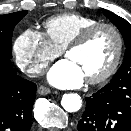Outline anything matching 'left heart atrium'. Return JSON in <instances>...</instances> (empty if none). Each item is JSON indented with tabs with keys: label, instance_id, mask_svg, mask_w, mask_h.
<instances>
[{
	"label": "left heart atrium",
	"instance_id": "1",
	"mask_svg": "<svg viewBox=\"0 0 131 131\" xmlns=\"http://www.w3.org/2000/svg\"><path fill=\"white\" fill-rule=\"evenodd\" d=\"M48 80L59 88H77L83 84L85 77L79 67L66 58L50 69Z\"/></svg>",
	"mask_w": 131,
	"mask_h": 131
}]
</instances>
